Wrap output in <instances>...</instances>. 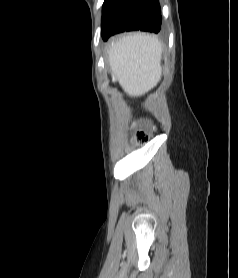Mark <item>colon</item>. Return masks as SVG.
<instances>
[{
  "label": "colon",
  "mask_w": 238,
  "mask_h": 278,
  "mask_svg": "<svg viewBox=\"0 0 238 278\" xmlns=\"http://www.w3.org/2000/svg\"><path fill=\"white\" fill-rule=\"evenodd\" d=\"M149 135H150L149 133L140 130L136 133V139L138 142L143 143L149 138Z\"/></svg>",
  "instance_id": "obj_1"
}]
</instances>
